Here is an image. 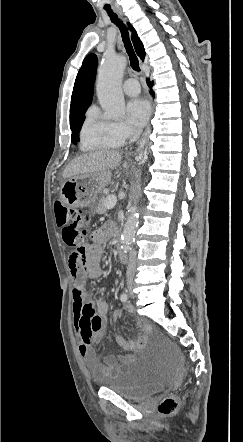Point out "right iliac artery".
I'll list each match as a JSON object with an SVG mask.
<instances>
[{
    "mask_svg": "<svg viewBox=\"0 0 243 442\" xmlns=\"http://www.w3.org/2000/svg\"><path fill=\"white\" fill-rule=\"evenodd\" d=\"M120 299H121L122 302H126V301L128 300V295H127L126 293H123V294L120 296Z\"/></svg>",
    "mask_w": 243,
    "mask_h": 442,
    "instance_id": "obj_1",
    "label": "right iliac artery"
}]
</instances>
